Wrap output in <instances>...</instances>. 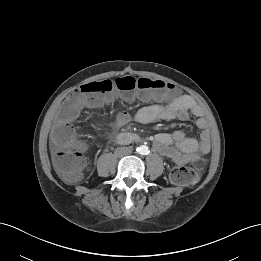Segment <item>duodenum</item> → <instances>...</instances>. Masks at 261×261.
<instances>
[{"label": "duodenum", "mask_w": 261, "mask_h": 261, "mask_svg": "<svg viewBox=\"0 0 261 261\" xmlns=\"http://www.w3.org/2000/svg\"><path fill=\"white\" fill-rule=\"evenodd\" d=\"M116 139L120 144H128L131 142H136L138 140V137L135 134L123 132L120 133Z\"/></svg>", "instance_id": "obj_1"}]
</instances>
